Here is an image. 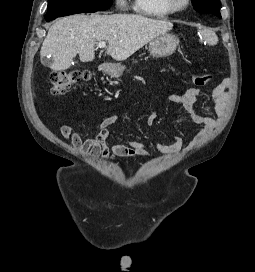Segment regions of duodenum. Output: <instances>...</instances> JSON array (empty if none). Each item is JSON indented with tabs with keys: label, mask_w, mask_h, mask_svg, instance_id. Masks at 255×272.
<instances>
[{
	"label": "duodenum",
	"mask_w": 255,
	"mask_h": 272,
	"mask_svg": "<svg viewBox=\"0 0 255 272\" xmlns=\"http://www.w3.org/2000/svg\"><path fill=\"white\" fill-rule=\"evenodd\" d=\"M100 71H101V73L106 74L107 71H108L107 65L103 64V65L100 67Z\"/></svg>",
	"instance_id": "410a0bca"
}]
</instances>
